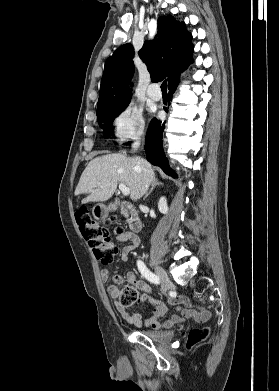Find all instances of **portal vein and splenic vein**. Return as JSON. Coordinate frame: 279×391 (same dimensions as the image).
Masks as SVG:
<instances>
[{"instance_id":"18ae733b","label":"portal vein and splenic vein","mask_w":279,"mask_h":391,"mask_svg":"<svg viewBox=\"0 0 279 391\" xmlns=\"http://www.w3.org/2000/svg\"><path fill=\"white\" fill-rule=\"evenodd\" d=\"M119 189L121 190L122 194L124 196H127L130 194V189L123 183L119 184Z\"/></svg>"}]
</instances>
